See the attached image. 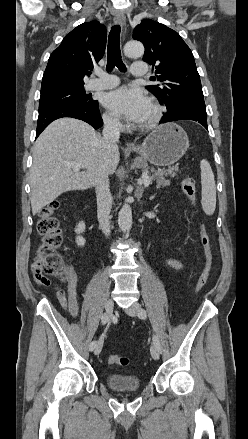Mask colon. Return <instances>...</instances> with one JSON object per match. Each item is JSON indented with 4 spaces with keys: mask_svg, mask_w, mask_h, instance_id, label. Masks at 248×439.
Instances as JSON below:
<instances>
[{
    "mask_svg": "<svg viewBox=\"0 0 248 439\" xmlns=\"http://www.w3.org/2000/svg\"><path fill=\"white\" fill-rule=\"evenodd\" d=\"M182 190L188 199L192 203H195L196 183L192 177L186 176L182 180ZM58 207L59 202L57 200H54L43 207L39 213V220L37 223L41 242L36 250L35 263L39 266L41 275L48 280L49 277L63 280L65 275V265L61 254L58 252L63 237L59 221L54 215ZM201 243L205 252L206 262L196 284L194 290L195 293H199L206 285L212 264L210 239L203 225L201 226ZM129 362V358L125 356L110 355L108 357L109 364L126 366Z\"/></svg>",
    "mask_w": 248,
    "mask_h": 439,
    "instance_id": "obj_1",
    "label": "colon"
}]
</instances>
